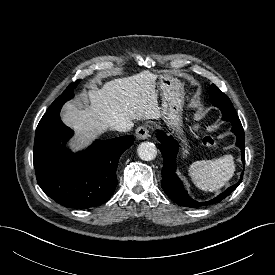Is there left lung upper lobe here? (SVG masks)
Masks as SVG:
<instances>
[{
  "label": "left lung upper lobe",
  "instance_id": "left-lung-upper-lobe-1",
  "mask_svg": "<svg viewBox=\"0 0 275 275\" xmlns=\"http://www.w3.org/2000/svg\"><path fill=\"white\" fill-rule=\"evenodd\" d=\"M209 95H210V101L214 106L218 108H221V106H225L226 108L229 107L230 109L234 110V107L230 99L223 92H221L219 88L216 87V85L214 84L211 85ZM221 111L223 115L222 116L223 120H228L227 118H229L228 117L229 112L227 111L225 112L224 110H221ZM232 118L239 119L236 112L232 115Z\"/></svg>",
  "mask_w": 275,
  "mask_h": 275
}]
</instances>
